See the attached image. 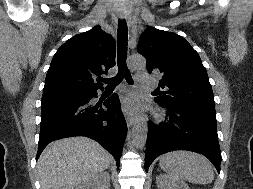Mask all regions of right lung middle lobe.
<instances>
[{"label": "right lung middle lobe", "mask_w": 253, "mask_h": 189, "mask_svg": "<svg viewBox=\"0 0 253 189\" xmlns=\"http://www.w3.org/2000/svg\"><path fill=\"white\" fill-rule=\"evenodd\" d=\"M88 94V91H81V90H58V91H49V92H43L44 97L48 96H55V95H76V96H83Z\"/></svg>", "instance_id": "1"}]
</instances>
